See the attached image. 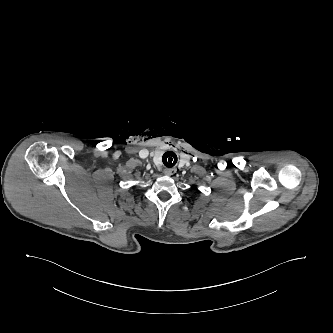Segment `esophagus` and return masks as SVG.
I'll return each mask as SVG.
<instances>
[{"instance_id":"34e87169","label":"esophagus","mask_w":333,"mask_h":333,"mask_svg":"<svg viewBox=\"0 0 333 333\" xmlns=\"http://www.w3.org/2000/svg\"><path fill=\"white\" fill-rule=\"evenodd\" d=\"M177 172L176 168H165L164 173L168 176H172Z\"/></svg>"}]
</instances>
